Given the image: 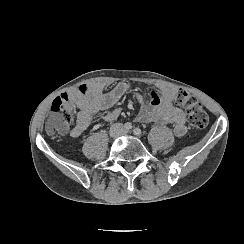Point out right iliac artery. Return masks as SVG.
Listing matches in <instances>:
<instances>
[{"mask_svg":"<svg viewBox=\"0 0 244 244\" xmlns=\"http://www.w3.org/2000/svg\"><path fill=\"white\" fill-rule=\"evenodd\" d=\"M132 124L130 123V122H127V123H125L124 124V128L126 129V130H131L132 129Z\"/></svg>","mask_w":244,"mask_h":244,"instance_id":"obj_1","label":"right iliac artery"}]
</instances>
